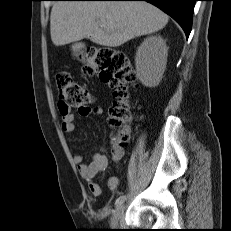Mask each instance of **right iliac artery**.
Masks as SVG:
<instances>
[{"instance_id": "right-iliac-artery-1", "label": "right iliac artery", "mask_w": 231, "mask_h": 231, "mask_svg": "<svg viewBox=\"0 0 231 231\" xmlns=\"http://www.w3.org/2000/svg\"><path fill=\"white\" fill-rule=\"evenodd\" d=\"M126 195H121L120 197H118L117 199H116V202H115V205H119V204H121V203H123L125 200H126Z\"/></svg>"}]
</instances>
